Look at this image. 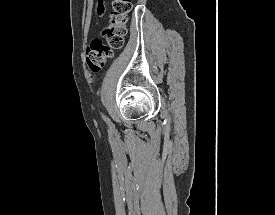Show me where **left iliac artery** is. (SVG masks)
<instances>
[{
    "mask_svg": "<svg viewBox=\"0 0 275 215\" xmlns=\"http://www.w3.org/2000/svg\"><path fill=\"white\" fill-rule=\"evenodd\" d=\"M102 117H103L104 119H107L106 116H104V115H103Z\"/></svg>",
    "mask_w": 275,
    "mask_h": 215,
    "instance_id": "left-iliac-artery-1",
    "label": "left iliac artery"
}]
</instances>
